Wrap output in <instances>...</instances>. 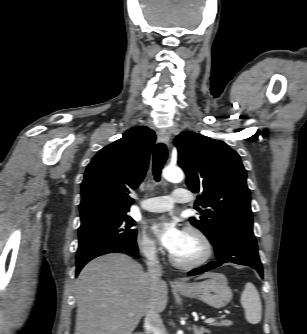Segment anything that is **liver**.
<instances>
[{
    "instance_id": "1",
    "label": "liver",
    "mask_w": 307,
    "mask_h": 334,
    "mask_svg": "<svg viewBox=\"0 0 307 334\" xmlns=\"http://www.w3.org/2000/svg\"><path fill=\"white\" fill-rule=\"evenodd\" d=\"M205 273L198 279L210 277ZM74 334H132L150 306L166 308L168 287L131 257L111 253L87 263L76 280ZM128 313H134L128 316Z\"/></svg>"
}]
</instances>
